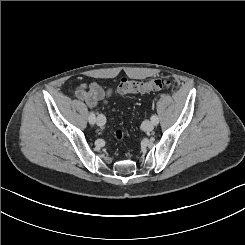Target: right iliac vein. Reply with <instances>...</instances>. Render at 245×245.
<instances>
[{
	"label": "right iliac vein",
	"mask_w": 245,
	"mask_h": 245,
	"mask_svg": "<svg viewBox=\"0 0 245 245\" xmlns=\"http://www.w3.org/2000/svg\"><path fill=\"white\" fill-rule=\"evenodd\" d=\"M105 122H106L105 117L102 114L98 115V117H97V125L102 127L105 124Z\"/></svg>",
	"instance_id": "1"
}]
</instances>
